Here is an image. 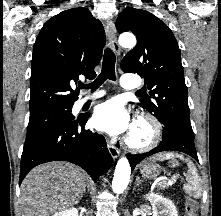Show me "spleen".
Listing matches in <instances>:
<instances>
[{
    "label": "spleen",
    "instance_id": "spleen-1",
    "mask_svg": "<svg viewBox=\"0 0 221 216\" xmlns=\"http://www.w3.org/2000/svg\"><path fill=\"white\" fill-rule=\"evenodd\" d=\"M174 157H179L180 159H184L182 155H175L174 153H161L157 154L154 159L163 161L165 159H172ZM189 172H188V184H187V192L191 195H193L195 198H199L200 195V177L197 173V169L195 165L189 161L186 160Z\"/></svg>",
    "mask_w": 221,
    "mask_h": 216
}]
</instances>
